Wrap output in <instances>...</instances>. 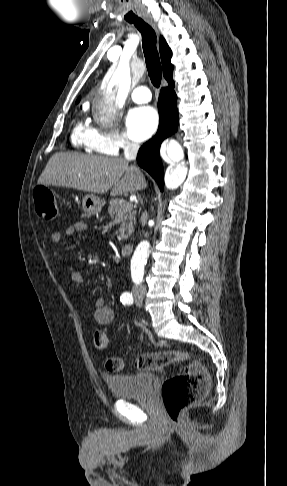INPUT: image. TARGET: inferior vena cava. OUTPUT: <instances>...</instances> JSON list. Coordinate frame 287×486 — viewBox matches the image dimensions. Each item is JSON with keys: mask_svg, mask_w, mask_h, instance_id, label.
<instances>
[{"mask_svg": "<svg viewBox=\"0 0 287 486\" xmlns=\"http://www.w3.org/2000/svg\"><path fill=\"white\" fill-rule=\"evenodd\" d=\"M139 145L135 142H131L126 140L124 146V156L127 161L135 160L137 153H138ZM148 214L144 212L141 217V223L144 226L147 222ZM137 290H146V286L144 284H140L137 286Z\"/></svg>", "mask_w": 287, "mask_h": 486, "instance_id": "602c4592", "label": "inferior vena cava"}]
</instances>
